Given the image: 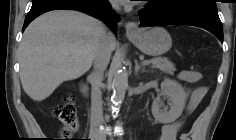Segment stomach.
<instances>
[{
	"label": "stomach",
	"instance_id": "obj_1",
	"mask_svg": "<svg viewBox=\"0 0 236 140\" xmlns=\"http://www.w3.org/2000/svg\"><path fill=\"white\" fill-rule=\"evenodd\" d=\"M128 38L140 51L151 56L166 53L172 45L169 33L161 27L140 29L135 34H128Z\"/></svg>",
	"mask_w": 236,
	"mask_h": 140
}]
</instances>
